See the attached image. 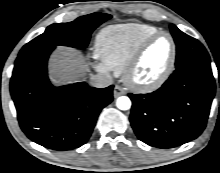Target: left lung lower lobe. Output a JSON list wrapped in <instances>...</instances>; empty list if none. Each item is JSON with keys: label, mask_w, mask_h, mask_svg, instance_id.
<instances>
[{"label": "left lung lower lobe", "mask_w": 220, "mask_h": 173, "mask_svg": "<svg viewBox=\"0 0 220 173\" xmlns=\"http://www.w3.org/2000/svg\"><path fill=\"white\" fill-rule=\"evenodd\" d=\"M214 94L210 62L178 68L157 91L129 94L130 123L137 137L150 146H180L203 132Z\"/></svg>", "instance_id": "left-lung-lower-lobe-1"}]
</instances>
